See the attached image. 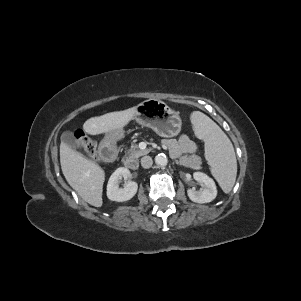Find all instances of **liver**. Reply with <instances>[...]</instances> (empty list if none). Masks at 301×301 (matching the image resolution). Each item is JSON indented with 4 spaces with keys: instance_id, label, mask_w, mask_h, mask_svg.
Segmentation results:
<instances>
[{
    "instance_id": "obj_1",
    "label": "liver",
    "mask_w": 301,
    "mask_h": 301,
    "mask_svg": "<svg viewBox=\"0 0 301 301\" xmlns=\"http://www.w3.org/2000/svg\"><path fill=\"white\" fill-rule=\"evenodd\" d=\"M136 113L137 109L133 107L92 117L84 123L83 128L91 135L103 133L115 135L134 119ZM60 163L63 175L77 194L90 205L101 207L104 170L64 142L60 144Z\"/></svg>"
}]
</instances>
